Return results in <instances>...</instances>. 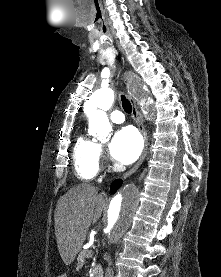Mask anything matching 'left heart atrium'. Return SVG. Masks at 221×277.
<instances>
[{"label": "left heart atrium", "instance_id": "obj_1", "mask_svg": "<svg viewBox=\"0 0 221 277\" xmlns=\"http://www.w3.org/2000/svg\"><path fill=\"white\" fill-rule=\"evenodd\" d=\"M142 139L132 127H124L114 135L109 151L112 158L123 164L134 162L141 153Z\"/></svg>", "mask_w": 221, "mask_h": 277}]
</instances>
